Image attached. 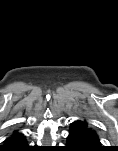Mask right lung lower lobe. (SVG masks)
Instances as JSON below:
<instances>
[{"label":"right lung lower lobe","instance_id":"1","mask_svg":"<svg viewBox=\"0 0 118 151\" xmlns=\"http://www.w3.org/2000/svg\"><path fill=\"white\" fill-rule=\"evenodd\" d=\"M14 147L15 148H12V149H7L6 147H4V149L6 151H26V150H30V147L28 146L26 140H23L21 143L17 144Z\"/></svg>","mask_w":118,"mask_h":151}]
</instances>
